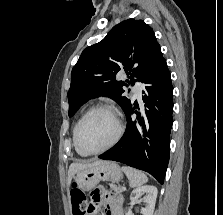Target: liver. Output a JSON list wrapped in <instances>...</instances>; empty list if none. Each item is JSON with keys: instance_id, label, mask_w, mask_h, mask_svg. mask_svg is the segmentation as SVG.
Here are the masks:
<instances>
[{"instance_id": "1", "label": "liver", "mask_w": 223, "mask_h": 215, "mask_svg": "<svg viewBox=\"0 0 223 215\" xmlns=\"http://www.w3.org/2000/svg\"><path fill=\"white\" fill-rule=\"evenodd\" d=\"M101 161L102 159H96V161H92V163H71L68 169V187H70L72 177H74L75 173H78V171H81V169H87V167H93V165H98V163H101Z\"/></svg>"}]
</instances>
